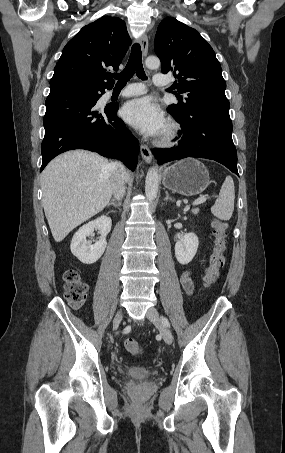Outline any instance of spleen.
I'll use <instances>...</instances> for the list:
<instances>
[{
	"mask_svg": "<svg viewBox=\"0 0 285 453\" xmlns=\"http://www.w3.org/2000/svg\"><path fill=\"white\" fill-rule=\"evenodd\" d=\"M235 187L231 176H227L222 184L218 198L211 207V213L224 221L232 217L234 211Z\"/></svg>",
	"mask_w": 285,
	"mask_h": 453,
	"instance_id": "3e777b00",
	"label": "spleen"
}]
</instances>
